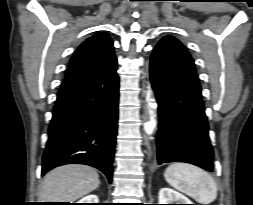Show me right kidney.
Returning a JSON list of instances; mask_svg holds the SVG:
<instances>
[{
  "label": "right kidney",
  "mask_w": 253,
  "mask_h": 205,
  "mask_svg": "<svg viewBox=\"0 0 253 205\" xmlns=\"http://www.w3.org/2000/svg\"><path fill=\"white\" fill-rule=\"evenodd\" d=\"M77 203H99V199L96 195L90 194V195L83 197Z\"/></svg>",
  "instance_id": "ca27d5eb"
}]
</instances>
